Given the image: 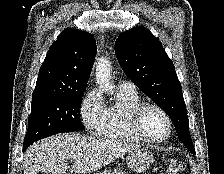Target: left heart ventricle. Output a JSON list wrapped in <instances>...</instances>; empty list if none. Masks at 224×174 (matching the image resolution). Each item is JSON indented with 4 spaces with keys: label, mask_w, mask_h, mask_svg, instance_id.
<instances>
[{
    "label": "left heart ventricle",
    "mask_w": 224,
    "mask_h": 174,
    "mask_svg": "<svg viewBox=\"0 0 224 174\" xmlns=\"http://www.w3.org/2000/svg\"><path fill=\"white\" fill-rule=\"evenodd\" d=\"M144 132L150 136L159 138L167 133L168 125L165 118L156 110L148 109L142 117Z\"/></svg>",
    "instance_id": "1"
}]
</instances>
